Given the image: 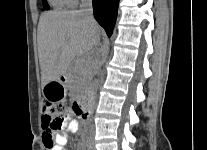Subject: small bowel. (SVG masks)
I'll return each mask as SVG.
<instances>
[{"instance_id":"1","label":"small bowel","mask_w":207,"mask_h":150,"mask_svg":"<svg viewBox=\"0 0 207 150\" xmlns=\"http://www.w3.org/2000/svg\"><path fill=\"white\" fill-rule=\"evenodd\" d=\"M79 124L75 119H68L66 122L65 132L52 134L53 145L48 150H66L67 136L78 130ZM43 138V142L45 143Z\"/></svg>"}]
</instances>
